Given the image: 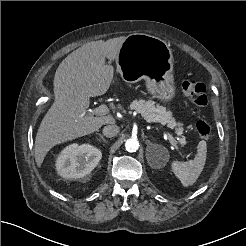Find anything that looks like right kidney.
I'll list each match as a JSON object with an SVG mask.
<instances>
[{
    "label": "right kidney",
    "mask_w": 246,
    "mask_h": 246,
    "mask_svg": "<svg viewBox=\"0 0 246 246\" xmlns=\"http://www.w3.org/2000/svg\"><path fill=\"white\" fill-rule=\"evenodd\" d=\"M102 158V153L90 144L68 145L56 161V170L66 179H78L91 173Z\"/></svg>",
    "instance_id": "obj_1"
}]
</instances>
